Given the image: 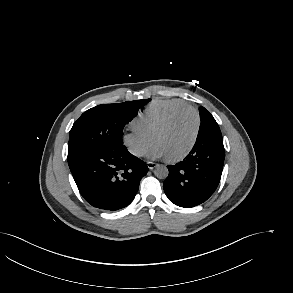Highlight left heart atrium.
Listing matches in <instances>:
<instances>
[{"instance_id": "obj_1", "label": "left heart atrium", "mask_w": 293, "mask_h": 293, "mask_svg": "<svg viewBox=\"0 0 293 293\" xmlns=\"http://www.w3.org/2000/svg\"><path fill=\"white\" fill-rule=\"evenodd\" d=\"M148 157L151 159H157L161 157H166V154L158 144L154 143L148 152Z\"/></svg>"}]
</instances>
